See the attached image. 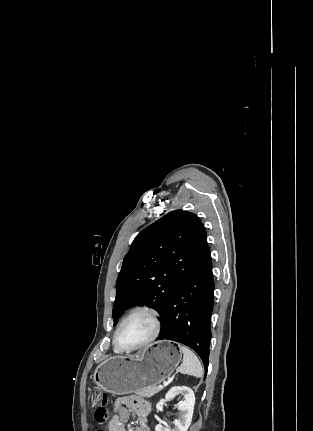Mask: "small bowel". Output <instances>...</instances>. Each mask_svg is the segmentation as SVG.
Returning a JSON list of instances; mask_svg holds the SVG:
<instances>
[{
  "label": "small bowel",
  "mask_w": 313,
  "mask_h": 431,
  "mask_svg": "<svg viewBox=\"0 0 313 431\" xmlns=\"http://www.w3.org/2000/svg\"><path fill=\"white\" fill-rule=\"evenodd\" d=\"M130 410L139 419L136 431H150L148 425V416L151 410L150 404L136 396H125L116 402L114 415L108 424L109 431H127L125 423L129 418Z\"/></svg>",
  "instance_id": "c3829d8e"
}]
</instances>
